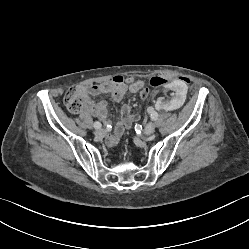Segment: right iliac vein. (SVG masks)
I'll list each match as a JSON object with an SVG mask.
<instances>
[{
  "label": "right iliac vein",
  "instance_id": "63e3f726",
  "mask_svg": "<svg viewBox=\"0 0 249 249\" xmlns=\"http://www.w3.org/2000/svg\"><path fill=\"white\" fill-rule=\"evenodd\" d=\"M105 134H106V131H105L104 129H102V128H99V129H97V130L95 131V136H96L97 138H102V137L105 136Z\"/></svg>",
  "mask_w": 249,
  "mask_h": 249
}]
</instances>
